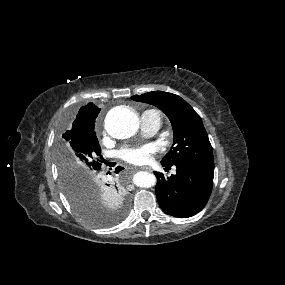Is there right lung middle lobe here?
Instances as JSON below:
<instances>
[{
    "mask_svg": "<svg viewBox=\"0 0 285 285\" xmlns=\"http://www.w3.org/2000/svg\"><path fill=\"white\" fill-rule=\"evenodd\" d=\"M102 164L101 148L94 131L70 135L59 139L57 166L64 193L75 212L96 227H108L120 216L108 218V209L101 194L115 197L124 207L125 196L113 180L103 182L100 178Z\"/></svg>",
    "mask_w": 285,
    "mask_h": 285,
    "instance_id": "dd1d6c3e",
    "label": "right lung middle lobe"
}]
</instances>
